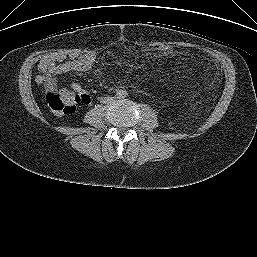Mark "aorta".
I'll return each instance as SVG.
<instances>
[{"mask_svg":"<svg viewBox=\"0 0 257 257\" xmlns=\"http://www.w3.org/2000/svg\"><path fill=\"white\" fill-rule=\"evenodd\" d=\"M117 98L118 99H125L128 95L127 91L124 89H120L116 92Z\"/></svg>","mask_w":257,"mask_h":257,"instance_id":"1","label":"aorta"}]
</instances>
